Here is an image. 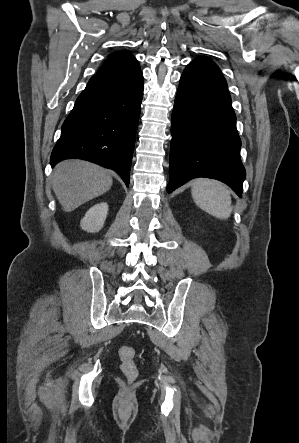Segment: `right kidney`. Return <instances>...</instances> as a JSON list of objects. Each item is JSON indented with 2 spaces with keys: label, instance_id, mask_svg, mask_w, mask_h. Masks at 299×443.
<instances>
[{
  "label": "right kidney",
  "instance_id": "right-kidney-1",
  "mask_svg": "<svg viewBox=\"0 0 299 443\" xmlns=\"http://www.w3.org/2000/svg\"><path fill=\"white\" fill-rule=\"evenodd\" d=\"M108 213V204L103 202L91 207L80 222V226L87 232H98L104 225Z\"/></svg>",
  "mask_w": 299,
  "mask_h": 443
}]
</instances>
